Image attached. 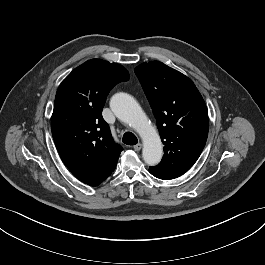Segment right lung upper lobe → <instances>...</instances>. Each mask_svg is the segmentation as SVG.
<instances>
[{
  "instance_id": "obj_1",
  "label": "right lung upper lobe",
  "mask_w": 265,
  "mask_h": 265,
  "mask_svg": "<svg viewBox=\"0 0 265 265\" xmlns=\"http://www.w3.org/2000/svg\"><path fill=\"white\" fill-rule=\"evenodd\" d=\"M129 80L121 65L92 59L74 69L60 84L51 130L66 167L80 178H94L118 160L116 145L102 109L110 90Z\"/></svg>"
}]
</instances>
